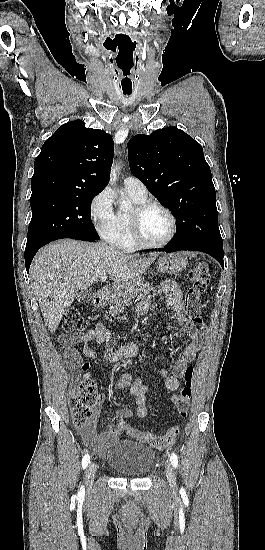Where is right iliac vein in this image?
I'll use <instances>...</instances> for the list:
<instances>
[{"instance_id": "63e3f726", "label": "right iliac vein", "mask_w": 265, "mask_h": 550, "mask_svg": "<svg viewBox=\"0 0 265 550\" xmlns=\"http://www.w3.org/2000/svg\"><path fill=\"white\" fill-rule=\"evenodd\" d=\"M95 472H96L95 465L93 463H90L86 470V480L90 485L93 484Z\"/></svg>"}]
</instances>
